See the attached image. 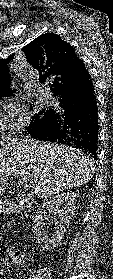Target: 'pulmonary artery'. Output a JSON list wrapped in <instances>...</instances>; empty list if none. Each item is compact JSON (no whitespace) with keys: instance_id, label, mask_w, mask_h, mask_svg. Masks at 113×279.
<instances>
[{"instance_id":"1","label":"pulmonary artery","mask_w":113,"mask_h":279,"mask_svg":"<svg viewBox=\"0 0 113 279\" xmlns=\"http://www.w3.org/2000/svg\"><path fill=\"white\" fill-rule=\"evenodd\" d=\"M50 100H51V98L48 96V97H46V101L47 102H50Z\"/></svg>"}]
</instances>
